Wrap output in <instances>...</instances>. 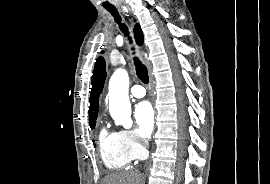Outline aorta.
<instances>
[{"label": "aorta", "instance_id": "1", "mask_svg": "<svg viewBox=\"0 0 270 184\" xmlns=\"http://www.w3.org/2000/svg\"><path fill=\"white\" fill-rule=\"evenodd\" d=\"M129 76L125 69L115 70L109 81V111L117 125L132 127L131 104L128 96Z\"/></svg>", "mask_w": 270, "mask_h": 184}]
</instances>
